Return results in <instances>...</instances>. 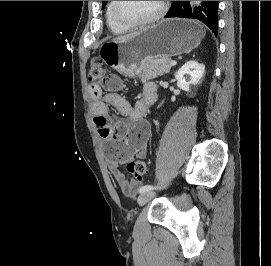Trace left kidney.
Returning <instances> with one entry per match:
<instances>
[{
	"label": "left kidney",
	"instance_id": "obj_1",
	"mask_svg": "<svg viewBox=\"0 0 271 266\" xmlns=\"http://www.w3.org/2000/svg\"><path fill=\"white\" fill-rule=\"evenodd\" d=\"M205 67L196 61L184 64L175 74L177 86L186 92L190 91L191 85H197L204 75Z\"/></svg>",
	"mask_w": 271,
	"mask_h": 266
}]
</instances>
